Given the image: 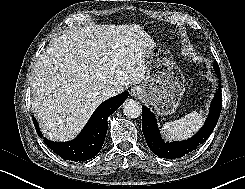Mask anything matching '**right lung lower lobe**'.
Returning <instances> with one entry per match:
<instances>
[{"mask_svg": "<svg viewBox=\"0 0 245 189\" xmlns=\"http://www.w3.org/2000/svg\"><path fill=\"white\" fill-rule=\"evenodd\" d=\"M129 96L123 92L104 101L92 114L81 133L69 142H53L43 137L36 119L33 123L38 135L48 147L61 158L71 161H87L101 150L108 129L107 118L115 112Z\"/></svg>", "mask_w": 245, "mask_h": 189, "instance_id": "1", "label": "right lung lower lobe"}]
</instances>
